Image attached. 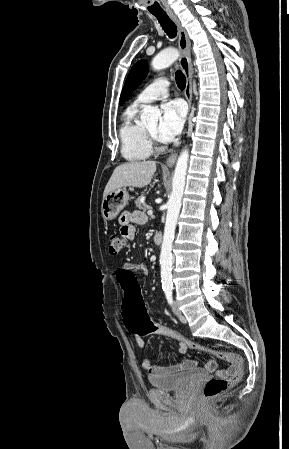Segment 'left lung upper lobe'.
<instances>
[{
	"label": "left lung upper lobe",
	"instance_id": "left-lung-upper-lobe-1",
	"mask_svg": "<svg viewBox=\"0 0 289 449\" xmlns=\"http://www.w3.org/2000/svg\"><path fill=\"white\" fill-rule=\"evenodd\" d=\"M147 71L148 65L146 60H140L132 67L121 93L120 104H123L132 91L140 85L146 76Z\"/></svg>",
	"mask_w": 289,
	"mask_h": 449
}]
</instances>
